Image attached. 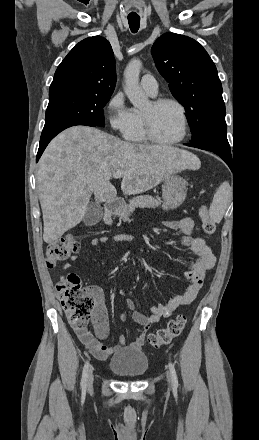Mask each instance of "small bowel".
Wrapping results in <instances>:
<instances>
[{"label":"small bowel","instance_id":"obj_1","mask_svg":"<svg viewBox=\"0 0 259 440\" xmlns=\"http://www.w3.org/2000/svg\"><path fill=\"white\" fill-rule=\"evenodd\" d=\"M165 225L180 236L181 244L192 254L188 269L184 274L189 283L184 293L175 296L166 304H158L151 307L150 315H145L137 311L134 301L130 298L126 299V311L122 313L121 317L124 320L130 319L138 325L137 336L130 342V346L135 349L142 347L146 332L152 324L162 318L169 317L178 307L188 305L196 298L204 284L207 273L215 265V256L206 241L202 237L194 236V223L191 219L184 218L181 220L165 221ZM133 239V237L125 234H118L111 238L102 236L93 238L90 241V245L99 246L109 242L131 241ZM77 259V253L71 256L72 261ZM68 266V264H65L64 268ZM63 278L62 276L61 279ZM92 289L96 302L93 314L94 332L87 328H75V333L81 343L95 358L104 360L113 353L116 347H109L102 343V340L105 339L109 333L107 309L102 291L98 287H92ZM124 343V338L120 337L119 345H123Z\"/></svg>","mask_w":259,"mask_h":440}]
</instances>
